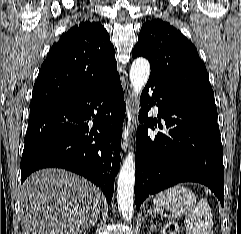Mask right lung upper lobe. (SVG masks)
I'll use <instances>...</instances> for the list:
<instances>
[{"mask_svg": "<svg viewBox=\"0 0 241 234\" xmlns=\"http://www.w3.org/2000/svg\"><path fill=\"white\" fill-rule=\"evenodd\" d=\"M116 75L115 50L106 29L98 22L83 21L51 47L30 106L89 92Z\"/></svg>", "mask_w": 241, "mask_h": 234, "instance_id": "cb5924a9", "label": "right lung upper lobe"}]
</instances>
